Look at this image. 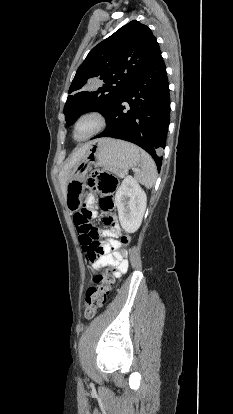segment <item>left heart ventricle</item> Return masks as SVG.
Returning <instances> with one entry per match:
<instances>
[{
	"instance_id": "obj_1",
	"label": "left heart ventricle",
	"mask_w": 233,
	"mask_h": 414,
	"mask_svg": "<svg viewBox=\"0 0 233 414\" xmlns=\"http://www.w3.org/2000/svg\"><path fill=\"white\" fill-rule=\"evenodd\" d=\"M92 127V123L91 122H84L83 124H81V126L79 127L78 131H77V135L78 136H82L85 133H87L89 131V129Z\"/></svg>"
}]
</instances>
